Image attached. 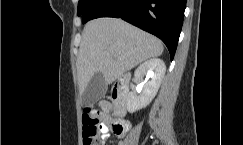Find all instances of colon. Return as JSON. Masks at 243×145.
Instances as JSON below:
<instances>
[{"mask_svg": "<svg viewBox=\"0 0 243 145\" xmlns=\"http://www.w3.org/2000/svg\"><path fill=\"white\" fill-rule=\"evenodd\" d=\"M105 116L104 111L87 107L82 116L83 124V145H98L97 135L101 128V121ZM111 130L116 134H121L126 129V124L120 120H114L110 125Z\"/></svg>", "mask_w": 243, "mask_h": 145, "instance_id": "1", "label": "colon"}]
</instances>
